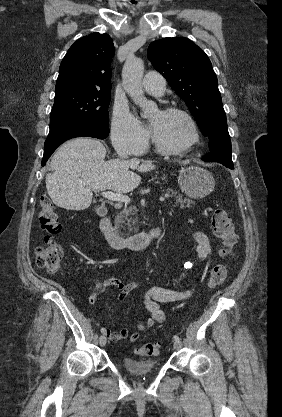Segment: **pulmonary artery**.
Segmentation results:
<instances>
[{"instance_id":"obj_1","label":"pulmonary artery","mask_w":282,"mask_h":417,"mask_svg":"<svg viewBox=\"0 0 282 417\" xmlns=\"http://www.w3.org/2000/svg\"><path fill=\"white\" fill-rule=\"evenodd\" d=\"M142 87L147 93L160 96L165 90L166 81L162 75L150 72L144 76Z\"/></svg>"}]
</instances>
